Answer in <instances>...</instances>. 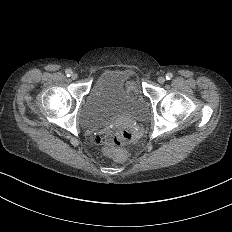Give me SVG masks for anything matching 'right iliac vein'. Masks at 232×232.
Wrapping results in <instances>:
<instances>
[{"mask_svg": "<svg viewBox=\"0 0 232 232\" xmlns=\"http://www.w3.org/2000/svg\"><path fill=\"white\" fill-rule=\"evenodd\" d=\"M72 78H73V79H76V78H77V75H76V74H73V75H72Z\"/></svg>", "mask_w": 232, "mask_h": 232, "instance_id": "63e3f726", "label": "right iliac vein"}]
</instances>
